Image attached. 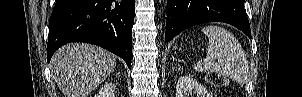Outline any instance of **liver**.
Wrapping results in <instances>:
<instances>
[{"label": "liver", "mask_w": 302, "mask_h": 97, "mask_svg": "<svg viewBox=\"0 0 302 97\" xmlns=\"http://www.w3.org/2000/svg\"><path fill=\"white\" fill-rule=\"evenodd\" d=\"M115 66L112 53L86 43L65 45L51 59L52 76L64 97H88Z\"/></svg>", "instance_id": "6515ba94"}]
</instances>
